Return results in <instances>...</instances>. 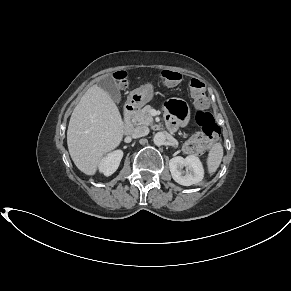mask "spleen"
I'll use <instances>...</instances> for the list:
<instances>
[{
	"label": "spleen",
	"instance_id": "3e777b00",
	"mask_svg": "<svg viewBox=\"0 0 291 291\" xmlns=\"http://www.w3.org/2000/svg\"><path fill=\"white\" fill-rule=\"evenodd\" d=\"M222 158H223L222 144L216 143L211 147L207 157V168L209 174H213L216 172V170L221 164Z\"/></svg>",
	"mask_w": 291,
	"mask_h": 291
}]
</instances>
